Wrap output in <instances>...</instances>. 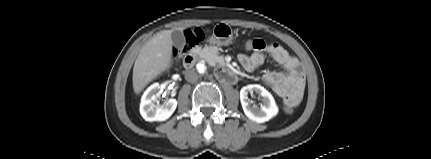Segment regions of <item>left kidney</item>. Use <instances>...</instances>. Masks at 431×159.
<instances>
[{
	"label": "left kidney",
	"instance_id": "1",
	"mask_svg": "<svg viewBox=\"0 0 431 159\" xmlns=\"http://www.w3.org/2000/svg\"><path fill=\"white\" fill-rule=\"evenodd\" d=\"M255 92L262 99L260 108L251 106L249 103L248 93ZM240 101L245 115L252 121L263 123L278 113V107L271 93L258 84L247 85L240 90Z\"/></svg>",
	"mask_w": 431,
	"mask_h": 159
}]
</instances>
